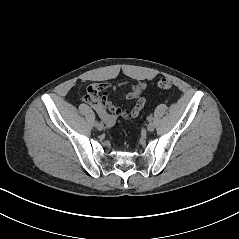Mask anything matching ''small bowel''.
<instances>
[{
	"instance_id": "obj_1",
	"label": "small bowel",
	"mask_w": 239,
	"mask_h": 239,
	"mask_svg": "<svg viewBox=\"0 0 239 239\" xmlns=\"http://www.w3.org/2000/svg\"><path fill=\"white\" fill-rule=\"evenodd\" d=\"M123 86L129 87L126 93V98L135 101L132 109L119 107L109 99L112 90L111 85L89 86L85 92V101L89 103L100 115L103 121L111 127L115 126L117 117L119 116L124 119H133L138 117L146 103V98L141 95L145 89L144 84H129L125 82L123 83ZM105 109L108 110L109 113H106Z\"/></svg>"
}]
</instances>
